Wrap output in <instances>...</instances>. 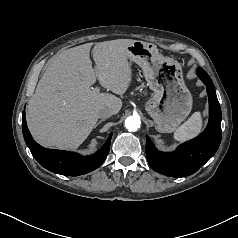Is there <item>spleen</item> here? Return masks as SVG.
<instances>
[{"instance_id":"3e777b00","label":"spleen","mask_w":238,"mask_h":238,"mask_svg":"<svg viewBox=\"0 0 238 238\" xmlns=\"http://www.w3.org/2000/svg\"><path fill=\"white\" fill-rule=\"evenodd\" d=\"M202 117L200 112H195L174 132V139L185 142L197 136L202 130Z\"/></svg>"}]
</instances>
